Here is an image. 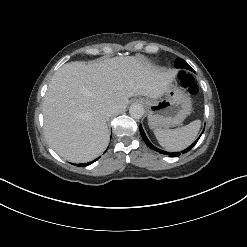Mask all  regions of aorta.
<instances>
[{
    "mask_svg": "<svg viewBox=\"0 0 247 247\" xmlns=\"http://www.w3.org/2000/svg\"><path fill=\"white\" fill-rule=\"evenodd\" d=\"M129 113L134 119H140L144 115V108L141 104H132Z\"/></svg>",
    "mask_w": 247,
    "mask_h": 247,
    "instance_id": "obj_1",
    "label": "aorta"
}]
</instances>
